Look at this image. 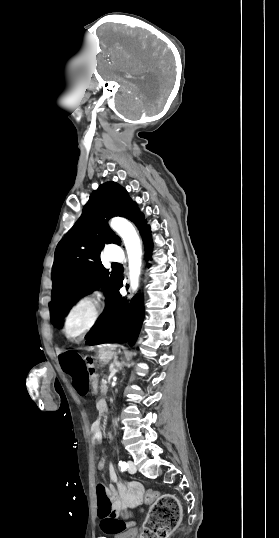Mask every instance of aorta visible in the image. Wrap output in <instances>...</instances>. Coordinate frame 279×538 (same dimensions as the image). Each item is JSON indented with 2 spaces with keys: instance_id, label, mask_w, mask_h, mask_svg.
Segmentation results:
<instances>
[{
  "instance_id": "1",
  "label": "aorta",
  "mask_w": 279,
  "mask_h": 538,
  "mask_svg": "<svg viewBox=\"0 0 279 538\" xmlns=\"http://www.w3.org/2000/svg\"><path fill=\"white\" fill-rule=\"evenodd\" d=\"M110 226L120 235L124 242L129 261L130 287L133 291H136L139 286L141 271L142 248L140 238L134 226L124 218H113Z\"/></svg>"
}]
</instances>
